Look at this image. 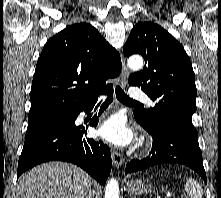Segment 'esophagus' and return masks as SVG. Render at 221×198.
<instances>
[{
    "mask_svg": "<svg viewBox=\"0 0 221 198\" xmlns=\"http://www.w3.org/2000/svg\"><path fill=\"white\" fill-rule=\"evenodd\" d=\"M121 62H122V71H121V76H120V85L122 88H125L127 85V81H128V77L130 73L122 55H121ZM112 160H113L114 165L117 168L121 167L124 161L121 153L116 150L112 151Z\"/></svg>",
    "mask_w": 221,
    "mask_h": 198,
    "instance_id": "1",
    "label": "esophagus"
}]
</instances>
